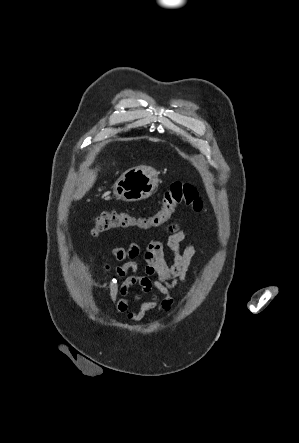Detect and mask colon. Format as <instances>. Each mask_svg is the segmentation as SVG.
<instances>
[{
  "instance_id": "obj_1",
  "label": "colon",
  "mask_w": 299,
  "mask_h": 443,
  "mask_svg": "<svg viewBox=\"0 0 299 443\" xmlns=\"http://www.w3.org/2000/svg\"><path fill=\"white\" fill-rule=\"evenodd\" d=\"M180 205L196 213L203 211V202L196 187L181 181L173 182L163 195L160 208L148 218H137L126 211H105L96 219L91 229L93 236L118 228L160 227L166 224Z\"/></svg>"
}]
</instances>
